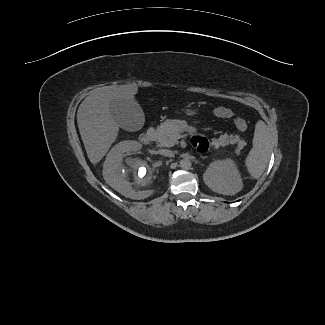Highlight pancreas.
Listing matches in <instances>:
<instances>
[{
  "instance_id": "pancreas-1",
  "label": "pancreas",
  "mask_w": 325,
  "mask_h": 325,
  "mask_svg": "<svg viewBox=\"0 0 325 325\" xmlns=\"http://www.w3.org/2000/svg\"><path fill=\"white\" fill-rule=\"evenodd\" d=\"M183 132L188 133H196L197 129L194 126H188L187 122L184 120H166L157 128V139L156 143L158 147H172L178 143V138L180 134ZM237 144L235 149V154L239 155L241 150L246 145V142L238 135L234 134H223L220 135L219 138L212 140V145L215 148L219 146H227V145Z\"/></svg>"
}]
</instances>
